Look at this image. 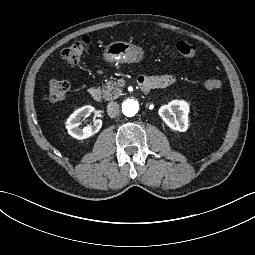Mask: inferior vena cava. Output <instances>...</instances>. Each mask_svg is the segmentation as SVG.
<instances>
[{
  "instance_id": "602c4592",
  "label": "inferior vena cava",
  "mask_w": 255,
  "mask_h": 255,
  "mask_svg": "<svg viewBox=\"0 0 255 255\" xmlns=\"http://www.w3.org/2000/svg\"><path fill=\"white\" fill-rule=\"evenodd\" d=\"M107 112L109 117H116L119 114V104L115 101L109 102Z\"/></svg>"
}]
</instances>
